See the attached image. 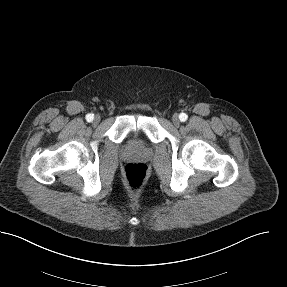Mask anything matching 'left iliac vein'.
I'll return each instance as SVG.
<instances>
[{"instance_id":"obj_1","label":"left iliac vein","mask_w":287,"mask_h":287,"mask_svg":"<svg viewBox=\"0 0 287 287\" xmlns=\"http://www.w3.org/2000/svg\"><path fill=\"white\" fill-rule=\"evenodd\" d=\"M172 122L176 127H178L180 125V119H179L178 114H174L172 116Z\"/></svg>"}]
</instances>
